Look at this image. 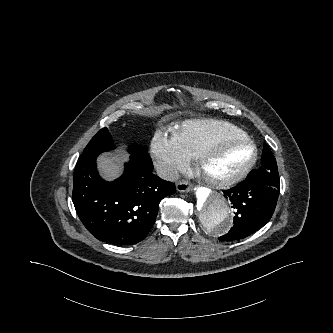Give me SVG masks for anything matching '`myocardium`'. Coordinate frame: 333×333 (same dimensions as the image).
Segmentation results:
<instances>
[{"label": "myocardium", "mask_w": 333, "mask_h": 333, "mask_svg": "<svg viewBox=\"0 0 333 333\" xmlns=\"http://www.w3.org/2000/svg\"><path fill=\"white\" fill-rule=\"evenodd\" d=\"M231 141H239L245 144L250 149V156L246 160V162L235 172L222 176L215 177L209 175L205 171V164L209 159L210 155L214 152V150L221 144ZM258 158V150L257 146L253 140H251L248 136H240V135H222L214 138L208 144H206L198 155L195 158L196 168L202 177L205 179L207 183L216 188H227L231 187L241 179H243L253 168Z\"/></svg>", "instance_id": "1"}]
</instances>
